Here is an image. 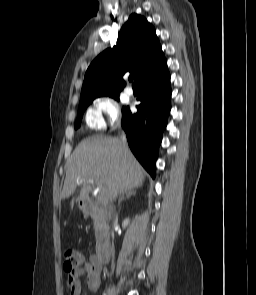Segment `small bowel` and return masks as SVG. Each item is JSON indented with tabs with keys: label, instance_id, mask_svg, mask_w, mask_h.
I'll return each mask as SVG.
<instances>
[{
	"label": "small bowel",
	"instance_id": "1",
	"mask_svg": "<svg viewBox=\"0 0 256 295\" xmlns=\"http://www.w3.org/2000/svg\"><path fill=\"white\" fill-rule=\"evenodd\" d=\"M102 264L98 262L95 254L89 256L83 266L67 274V286L70 295H82L80 277L87 274V287L90 291H97L101 284Z\"/></svg>",
	"mask_w": 256,
	"mask_h": 295
}]
</instances>
